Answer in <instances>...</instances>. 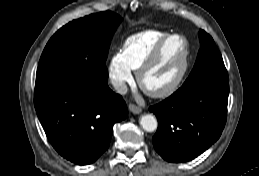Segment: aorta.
Masks as SVG:
<instances>
[{
	"label": "aorta",
	"instance_id": "1",
	"mask_svg": "<svg viewBox=\"0 0 259 176\" xmlns=\"http://www.w3.org/2000/svg\"><path fill=\"white\" fill-rule=\"evenodd\" d=\"M140 125L147 132H153L157 129V119L151 114L142 115L140 118Z\"/></svg>",
	"mask_w": 259,
	"mask_h": 176
}]
</instances>
